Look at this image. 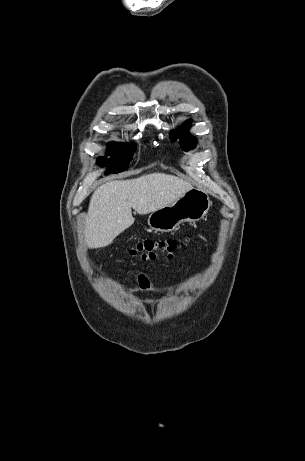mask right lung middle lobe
<instances>
[{"instance_id":"obj_1","label":"right lung middle lobe","mask_w":305,"mask_h":461,"mask_svg":"<svg viewBox=\"0 0 305 461\" xmlns=\"http://www.w3.org/2000/svg\"><path fill=\"white\" fill-rule=\"evenodd\" d=\"M135 150L134 143H111L108 148V154L111 155V158L107 162L105 158L99 157L97 163L101 166L108 165L106 174L122 172L128 168Z\"/></svg>"}]
</instances>
